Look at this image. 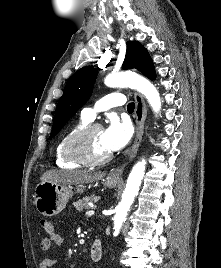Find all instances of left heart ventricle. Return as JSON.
Listing matches in <instances>:
<instances>
[{
  "instance_id": "obj_1",
  "label": "left heart ventricle",
  "mask_w": 221,
  "mask_h": 268,
  "mask_svg": "<svg viewBox=\"0 0 221 268\" xmlns=\"http://www.w3.org/2000/svg\"><path fill=\"white\" fill-rule=\"evenodd\" d=\"M89 148L93 155L102 157L109 154L104 141L103 130L96 129L89 138Z\"/></svg>"
}]
</instances>
